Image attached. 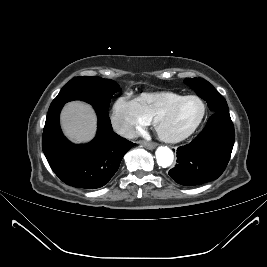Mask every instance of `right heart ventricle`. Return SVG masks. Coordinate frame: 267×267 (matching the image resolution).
I'll use <instances>...</instances> for the list:
<instances>
[{
  "label": "right heart ventricle",
  "mask_w": 267,
  "mask_h": 267,
  "mask_svg": "<svg viewBox=\"0 0 267 267\" xmlns=\"http://www.w3.org/2000/svg\"><path fill=\"white\" fill-rule=\"evenodd\" d=\"M183 97L184 95L176 92L164 91L143 93L137 98V101L143 114L149 121H152L160 112Z\"/></svg>",
  "instance_id": "e07e8e85"
}]
</instances>
